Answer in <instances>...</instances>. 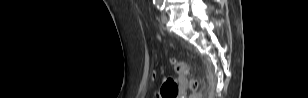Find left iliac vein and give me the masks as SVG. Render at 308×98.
Listing matches in <instances>:
<instances>
[{
    "label": "left iliac vein",
    "instance_id": "obj_1",
    "mask_svg": "<svg viewBox=\"0 0 308 98\" xmlns=\"http://www.w3.org/2000/svg\"><path fill=\"white\" fill-rule=\"evenodd\" d=\"M167 21H168V16L166 15V13H162V15H161V22L163 24H165V23H167Z\"/></svg>",
    "mask_w": 308,
    "mask_h": 98
}]
</instances>
